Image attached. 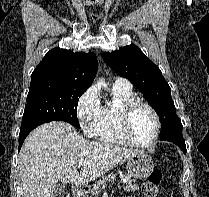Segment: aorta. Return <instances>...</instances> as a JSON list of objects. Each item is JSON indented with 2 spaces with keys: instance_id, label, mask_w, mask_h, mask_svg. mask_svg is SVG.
I'll return each instance as SVG.
<instances>
[{
  "instance_id": "aorta-1",
  "label": "aorta",
  "mask_w": 209,
  "mask_h": 197,
  "mask_svg": "<svg viewBox=\"0 0 209 197\" xmlns=\"http://www.w3.org/2000/svg\"><path fill=\"white\" fill-rule=\"evenodd\" d=\"M98 85L106 86V83L101 79L98 81Z\"/></svg>"
}]
</instances>
